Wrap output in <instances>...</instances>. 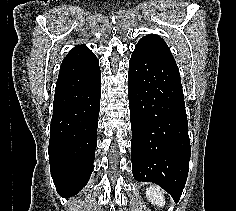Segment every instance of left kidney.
Masks as SVG:
<instances>
[{"instance_id": "5707ae66", "label": "left kidney", "mask_w": 236, "mask_h": 211, "mask_svg": "<svg viewBox=\"0 0 236 211\" xmlns=\"http://www.w3.org/2000/svg\"><path fill=\"white\" fill-rule=\"evenodd\" d=\"M146 197L148 200L159 207H163L165 204V198L157 186L151 185L146 189Z\"/></svg>"}]
</instances>
